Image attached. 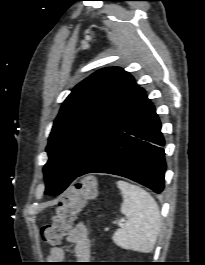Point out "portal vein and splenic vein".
I'll use <instances>...</instances> for the list:
<instances>
[{
  "instance_id": "obj_1",
  "label": "portal vein and splenic vein",
  "mask_w": 205,
  "mask_h": 265,
  "mask_svg": "<svg viewBox=\"0 0 205 265\" xmlns=\"http://www.w3.org/2000/svg\"><path fill=\"white\" fill-rule=\"evenodd\" d=\"M124 221H125L124 219H121V220L118 222V225H122Z\"/></svg>"
}]
</instances>
